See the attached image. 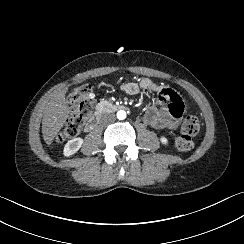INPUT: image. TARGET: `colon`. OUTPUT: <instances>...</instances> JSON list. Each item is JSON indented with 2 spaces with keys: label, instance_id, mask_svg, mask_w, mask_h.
Instances as JSON below:
<instances>
[{
  "label": "colon",
  "instance_id": "1",
  "mask_svg": "<svg viewBox=\"0 0 244 244\" xmlns=\"http://www.w3.org/2000/svg\"><path fill=\"white\" fill-rule=\"evenodd\" d=\"M77 90H82L84 93L83 99H74L73 93ZM68 102L73 111L67 119L61 133L58 135V141L76 136L80 131L87 117L91 114L94 107V99L92 88L89 85H81L73 91ZM200 129L199 121L194 116H187L184 118L180 127L179 133L175 138V144L181 151H191L195 145V136Z\"/></svg>",
  "mask_w": 244,
  "mask_h": 244
}]
</instances>
